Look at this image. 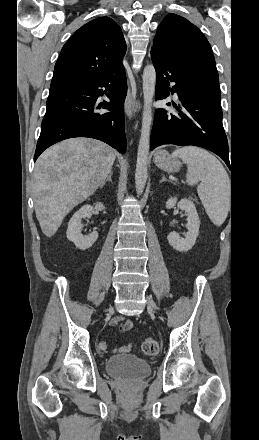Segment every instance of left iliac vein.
Returning a JSON list of instances; mask_svg holds the SVG:
<instances>
[{"label": "left iliac vein", "mask_w": 259, "mask_h": 440, "mask_svg": "<svg viewBox=\"0 0 259 440\" xmlns=\"http://www.w3.org/2000/svg\"><path fill=\"white\" fill-rule=\"evenodd\" d=\"M146 298H147L148 307H149L151 310L155 311V310H156V305H155V303L153 302L152 298H151L150 296H147Z\"/></svg>", "instance_id": "left-iliac-vein-1"}]
</instances>
